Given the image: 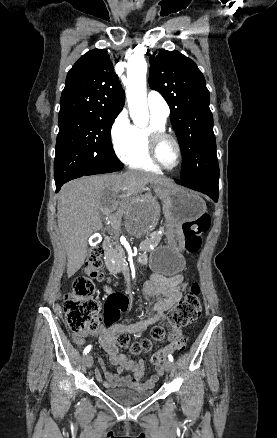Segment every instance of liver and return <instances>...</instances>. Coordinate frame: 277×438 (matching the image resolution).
<instances>
[{
    "mask_svg": "<svg viewBox=\"0 0 277 438\" xmlns=\"http://www.w3.org/2000/svg\"><path fill=\"white\" fill-rule=\"evenodd\" d=\"M147 184L174 188L171 180L147 172L129 170L119 176H85L63 186L58 196V228L67 254V276L82 268L87 256V240L102 230L100 212L111 216L117 206L139 204L137 196Z\"/></svg>",
    "mask_w": 277,
    "mask_h": 438,
    "instance_id": "liver-1",
    "label": "liver"
}]
</instances>
